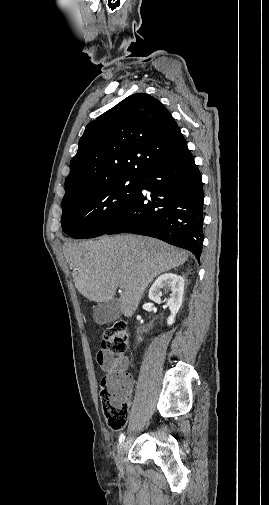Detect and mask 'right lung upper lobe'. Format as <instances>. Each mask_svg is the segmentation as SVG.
Returning a JSON list of instances; mask_svg holds the SVG:
<instances>
[{"mask_svg": "<svg viewBox=\"0 0 269 505\" xmlns=\"http://www.w3.org/2000/svg\"><path fill=\"white\" fill-rule=\"evenodd\" d=\"M186 145L159 100L145 93L130 95L86 126L70 161L62 201L97 185L139 179Z\"/></svg>", "mask_w": 269, "mask_h": 505, "instance_id": "obj_1", "label": "right lung upper lobe"}]
</instances>
